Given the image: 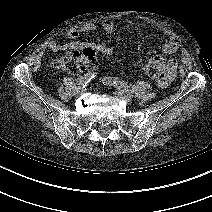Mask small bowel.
Instances as JSON below:
<instances>
[{
	"label": "small bowel",
	"instance_id": "small-bowel-1",
	"mask_svg": "<svg viewBox=\"0 0 212 212\" xmlns=\"http://www.w3.org/2000/svg\"><path fill=\"white\" fill-rule=\"evenodd\" d=\"M100 27L104 31V33L108 36H113L116 33L115 25L113 24V22L109 20L102 21ZM98 28H99L98 26L93 24H85L81 26L79 29L70 30L66 34V37L69 40L67 43H58L56 41H50L48 44V51L51 54H56L67 50H75V49L83 50L86 48H90L109 56L114 55L116 53L115 50L112 47L107 46L105 44L78 41L80 33L93 32L96 31ZM162 50L166 55H174L179 52L180 45L176 41L166 40L162 45ZM152 59L154 60L162 59L164 61L165 69L168 70V76L164 80L157 82L160 87L165 88L171 83V81L175 77L177 70V61L175 59L167 60L165 57L160 55L154 56Z\"/></svg>",
	"mask_w": 212,
	"mask_h": 212
}]
</instances>
